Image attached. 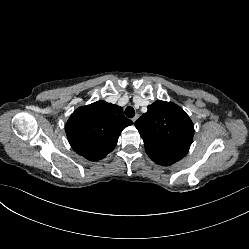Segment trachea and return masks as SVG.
Returning <instances> with one entry per match:
<instances>
[{"label":"trachea","instance_id":"trachea-1","mask_svg":"<svg viewBox=\"0 0 249 249\" xmlns=\"http://www.w3.org/2000/svg\"><path fill=\"white\" fill-rule=\"evenodd\" d=\"M125 115L129 118H133L134 115H135V110L133 107L131 106H128L126 109H125Z\"/></svg>","mask_w":249,"mask_h":249}]
</instances>
